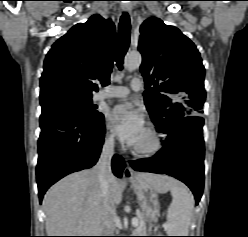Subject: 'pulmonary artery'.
Returning a JSON list of instances; mask_svg holds the SVG:
<instances>
[{"label":"pulmonary artery","instance_id":"1","mask_svg":"<svg viewBox=\"0 0 248 237\" xmlns=\"http://www.w3.org/2000/svg\"><path fill=\"white\" fill-rule=\"evenodd\" d=\"M142 88V80L140 78H134L131 81V87L125 86H116L110 89H107L98 94L97 99L103 100L107 98H124L127 97L131 90L132 91H139Z\"/></svg>","mask_w":248,"mask_h":237}]
</instances>
